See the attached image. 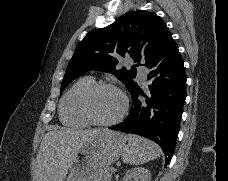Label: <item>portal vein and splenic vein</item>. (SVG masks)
I'll list each match as a JSON object with an SVG mask.
<instances>
[{
    "label": "portal vein and splenic vein",
    "instance_id": "1",
    "mask_svg": "<svg viewBox=\"0 0 228 181\" xmlns=\"http://www.w3.org/2000/svg\"><path fill=\"white\" fill-rule=\"evenodd\" d=\"M117 171H118V166H112L111 173L112 174H117Z\"/></svg>",
    "mask_w": 228,
    "mask_h": 181
}]
</instances>
